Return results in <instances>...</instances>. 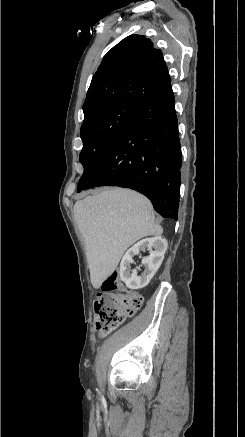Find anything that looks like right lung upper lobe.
Listing matches in <instances>:
<instances>
[{"label": "right lung upper lobe", "instance_id": "cb5924a9", "mask_svg": "<svg viewBox=\"0 0 245 437\" xmlns=\"http://www.w3.org/2000/svg\"><path fill=\"white\" fill-rule=\"evenodd\" d=\"M173 94L160 49L149 38L130 35L114 46L94 74L83 105L84 116L100 106L128 102L140 106Z\"/></svg>", "mask_w": 245, "mask_h": 437}]
</instances>
